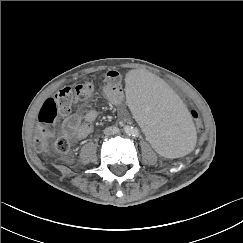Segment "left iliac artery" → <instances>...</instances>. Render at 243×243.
<instances>
[{
  "instance_id": "44dca946",
  "label": "left iliac artery",
  "mask_w": 243,
  "mask_h": 243,
  "mask_svg": "<svg viewBox=\"0 0 243 243\" xmlns=\"http://www.w3.org/2000/svg\"><path fill=\"white\" fill-rule=\"evenodd\" d=\"M132 134H133V136H136V135H138V131L136 129H133Z\"/></svg>"
}]
</instances>
